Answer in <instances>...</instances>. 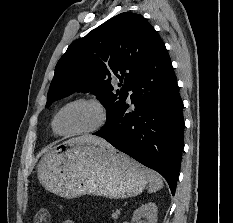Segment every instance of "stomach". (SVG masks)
I'll return each instance as SVG.
<instances>
[{"label":"stomach","instance_id":"1","mask_svg":"<svg viewBox=\"0 0 233 223\" xmlns=\"http://www.w3.org/2000/svg\"><path fill=\"white\" fill-rule=\"evenodd\" d=\"M147 171L122 151L90 141L57 143L37 165L41 185L67 199L80 195L134 197L145 189Z\"/></svg>","mask_w":233,"mask_h":223}]
</instances>
